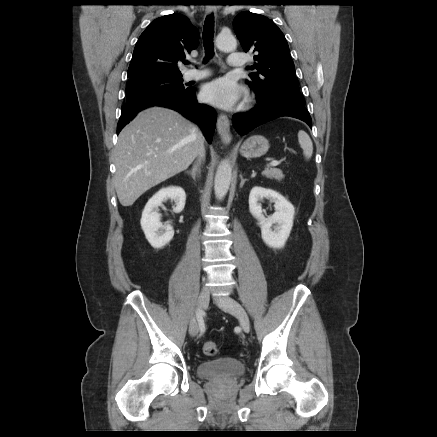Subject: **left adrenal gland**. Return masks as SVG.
<instances>
[{
    "instance_id": "obj_1",
    "label": "left adrenal gland",
    "mask_w": 437,
    "mask_h": 437,
    "mask_svg": "<svg viewBox=\"0 0 437 437\" xmlns=\"http://www.w3.org/2000/svg\"><path fill=\"white\" fill-rule=\"evenodd\" d=\"M240 179H241L240 188H242L243 185H244V183H245V181H246V179H244V178L242 177V175H240Z\"/></svg>"
}]
</instances>
